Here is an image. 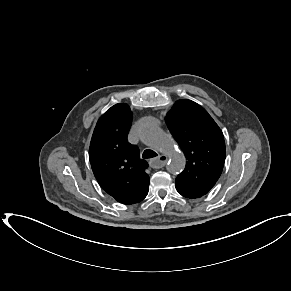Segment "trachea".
Here are the masks:
<instances>
[{"label":"trachea","instance_id":"3493384b","mask_svg":"<svg viewBox=\"0 0 291 291\" xmlns=\"http://www.w3.org/2000/svg\"><path fill=\"white\" fill-rule=\"evenodd\" d=\"M155 156H157V154L153 150H150V149H146L142 155L144 159L153 158Z\"/></svg>","mask_w":291,"mask_h":291}]
</instances>
